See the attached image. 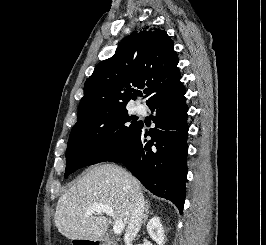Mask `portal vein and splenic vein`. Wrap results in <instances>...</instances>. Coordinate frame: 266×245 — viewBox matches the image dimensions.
<instances>
[{"label": "portal vein and splenic vein", "mask_w": 266, "mask_h": 245, "mask_svg": "<svg viewBox=\"0 0 266 245\" xmlns=\"http://www.w3.org/2000/svg\"><path fill=\"white\" fill-rule=\"evenodd\" d=\"M87 213H105L108 217H114V209L109 205H102V203H94L92 209H88ZM124 229L122 221H116L113 227L114 235H120Z\"/></svg>", "instance_id": "18ae733b"}]
</instances>
